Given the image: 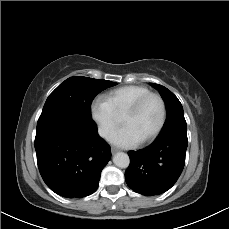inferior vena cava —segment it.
<instances>
[{
  "mask_svg": "<svg viewBox=\"0 0 229 229\" xmlns=\"http://www.w3.org/2000/svg\"><path fill=\"white\" fill-rule=\"evenodd\" d=\"M98 132L102 138H105L108 141L112 139V134L108 130L104 128H99Z\"/></svg>",
  "mask_w": 229,
  "mask_h": 229,
  "instance_id": "602c4592",
  "label": "inferior vena cava"
}]
</instances>
